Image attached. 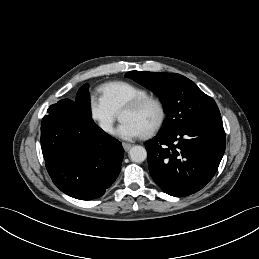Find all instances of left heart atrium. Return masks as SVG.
I'll return each mask as SVG.
<instances>
[{"instance_id": "39dd6f15", "label": "left heart atrium", "mask_w": 259, "mask_h": 259, "mask_svg": "<svg viewBox=\"0 0 259 259\" xmlns=\"http://www.w3.org/2000/svg\"><path fill=\"white\" fill-rule=\"evenodd\" d=\"M141 131L136 125L129 121H122L115 131V134L125 140H132L141 135Z\"/></svg>"}]
</instances>
